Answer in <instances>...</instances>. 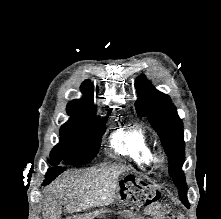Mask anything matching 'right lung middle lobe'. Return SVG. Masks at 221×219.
I'll list each match as a JSON object with an SVG mask.
<instances>
[{
  "label": "right lung middle lobe",
  "instance_id": "right-lung-middle-lobe-1",
  "mask_svg": "<svg viewBox=\"0 0 221 219\" xmlns=\"http://www.w3.org/2000/svg\"><path fill=\"white\" fill-rule=\"evenodd\" d=\"M108 117L95 121L70 119L60 128V142L50 154L48 162L57 166L61 161L82 165L90 162L100 148Z\"/></svg>",
  "mask_w": 221,
  "mask_h": 219
}]
</instances>
